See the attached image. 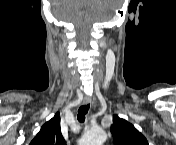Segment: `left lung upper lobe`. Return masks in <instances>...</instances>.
<instances>
[{
    "mask_svg": "<svg viewBox=\"0 0 176 145\" xmlns=\"http://www.w3.org/2000/svg\"><path fill=\"white\" fill-rule=\"evenodd\" d=\"M111 133L114 139V145H148L147 139L129 122L113 117Z\"/></svg>",
    "mask_w": 176,
    "mask_h": 145,
    "instance_id": "obj_1",
    "label": "left lung upper lobe"
}]
</instances>
